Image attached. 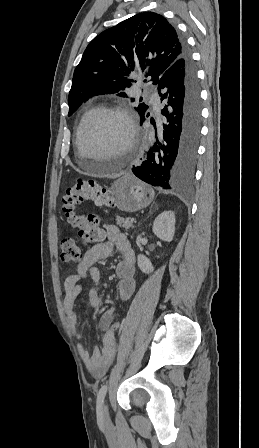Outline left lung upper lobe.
I'll return each mask as SVG.
<instances>
[{
	"label": "left lung upper lobe",
	"instance_id": "left-lung-upper-lobe-1",
	"mask_svg": "<svg viewBox=\"0 0 259 448\" xmlns=\"http://www.w3.org/2000/svg\"><path fill=\"white\" fill-rule=\"evenodd\" d=\"M182 51L176 29L154 12L139 13L103 31L89 43L75 68L68 115L95 95L116 93L128 97L124 90L137 82L132 72L143 73V83L151 76L157 85L160 76L181 58ZM148 108L140 103L135 110L142 118Z\"/></svg>",
	"mask_w": 259,
	"mask_h": 448
}]
</instances>
